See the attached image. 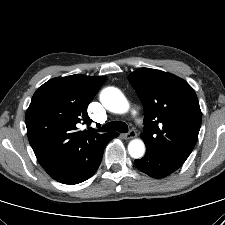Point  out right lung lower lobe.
I'll list each match as a JSON object with an SVG mask.
<instances>
[{"label":"right lung lower lobe","instance_id":"98d812e1","mask_svg":"<svg viewBox=\"0 0 225 225\" xmlns=\"http://www.w3.org/2000/svg\"><path fill=\"white\" fill-rule=\"evenodd\" d=\"M118 135V133H110L95 149L91 159L68 162L58 172L50 176L64 184H77L87 180L98 169L107 143Z\"/></svg>","mask_w":225,"mask_h":225}]
</instances>
